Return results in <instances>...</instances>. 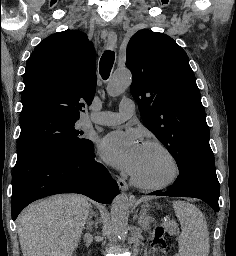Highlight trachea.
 <instances>
[{"label":"trachea","mask_w":236,"mask_h":256,"mask_svg":"<svg viewBox=\"0 0 236 256\" xmlns=\"http://www.w3.org/2000/svg\"><path fill=\"white\" fill-rule=\"evenodd\" d=\"M115 54L112 50H106L101 59L99 64L100 75L104 80L109 78L113 63H114Z\"/></svg>","instance_id":"trachea-1"}]
</instances>
